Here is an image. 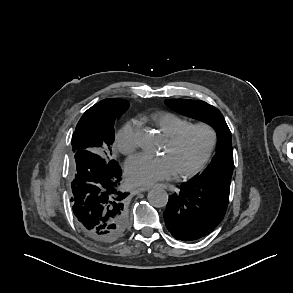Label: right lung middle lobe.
<instances>
[{"mask_svg":"<svg viewBox=\"0 0 293 293\" xmlns=\"http://www.w3.org/2000/svg\"><path fill=\"white\" fill-rule=\"evenodd\" d=\"M128 107L129 103L126 100L109 98L88 109L81 117L73 133V152L92 150L103 158L110 160L112 155L110 145L115 138V120Z\"/></svg>","mask_w":293,"mask_h":293,"instance_id":"right-lung-middle-lobe-1","label":"right lung middle lobe"}]
</instances>
